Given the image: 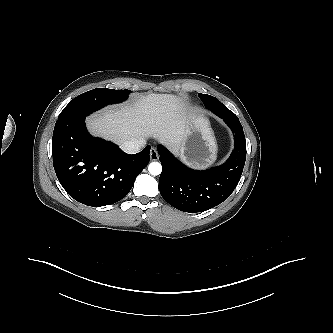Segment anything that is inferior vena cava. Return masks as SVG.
I'll return each mask as SVG.
<instances>
[{
  "mask_svg": "<svg viewBox=\"0 0 333 333\" xmlns=\"http://www.w3.org/2000/svg\"><path fill=\"white\" fill-rule=\"evenodd\" d=\"M144 144L145 140L133 139L123 142L121 145V149L128 154H135L140 151Z\"/></svg>",
  "mask_w": 333,
  "mask_h": 333,
  "instance_id": "inferior-vena-cava-1",
  "label": "inferior vena cava"
}]
</instances>
